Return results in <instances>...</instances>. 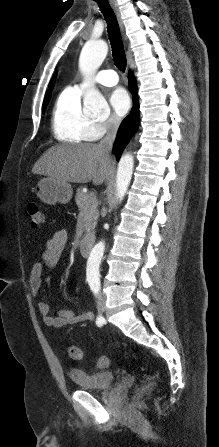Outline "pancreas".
<instances>
[{
  "mask_svg": "<svg viewBox=\"0 0 219 447\" xmlns=\"http://www.w3.org/2000/svg\"><path fill=\"white\" fill-rule=\"evenodd\" d=\"M75 201L79 210H86L87 217L84 222V230L85 232H90L96 225L99 216L97 200L91 193H84L81 188H78Z\"/></svg>",
  "mask_w": 219,
  "mask_h": 447,
  "instance_id": "1",
  "label": "pancreas"
}]
</instances>
